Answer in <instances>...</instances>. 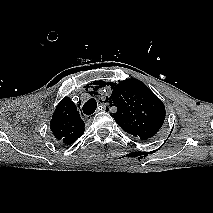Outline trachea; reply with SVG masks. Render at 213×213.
<instances>
[{
    "label": "trachea",
    "instance_id": "3493384b",
    "mask_svg": "<svg viewBox=\"0 0 213 213\" xmlns=\"http://www.w3.org/2000/svg\"><path fill=\"white\" fill-rule=\"evenodd\" d=\"M97 108V102L95 99H89L83 106V112L86 115H91Z\"/></svg>",
    "mask_w": 213,
    "mask_h": 213
}]
</instances>
